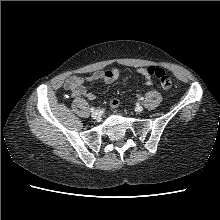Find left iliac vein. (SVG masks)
Masks as SVG:
<instances>
[{
	"label": "left iliac vein",
	"instance_id": "left-iliac-vein-1",
	"mask_svg": "<svg viewBox=\"0 0 220 220\" xmlns=\"http://www.w3.org/2000/svg\"><path fill=\"white\" fill-rule=\"evenodd\" d=\"M135 111H136V112H142V111H143V107H142L141 105H137V106L135 107Z\"/></svg>",
	"mask_w": 220,
	"mask_h": 220
}]
</instances>
